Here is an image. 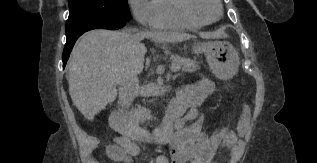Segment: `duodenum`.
I'll return each instance as SVG.
<instances>
[{
  "instance_id": "duodenum-1",
  "label": "duodenum",
  "mask_w": 317,
  "mask_h": 163,
  "mask_svg": "<svg viewBox=\"0 0 317 163\" xmlns=\"http://www.w3.org/2000/svg\"><path fill=\"white\" fill-rule=\"evenodd\" d=\"M176 119V114L168 112L163 124L159 128L149 132L141 126L134 124L124 112L115 111L110 116V126L123 137V141L121 144L111 145L110 148L114 154H118L124 146L135 141H145L157 145L163 144L172 137Z\"/></svg>"
}]
</instances>
